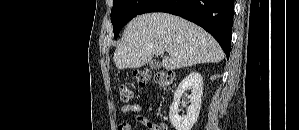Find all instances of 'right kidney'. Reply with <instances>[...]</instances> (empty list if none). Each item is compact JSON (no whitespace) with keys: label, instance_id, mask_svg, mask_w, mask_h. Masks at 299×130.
Returning <instances> with one entry per match:
<instances>
[{"label":"right kidney","instance_id":"1","mask_svg":"<svg viewBox=\"0 0 299 130\" xmlns=\"http://www.w3.org/2000/svg\"><path fill=\"white\" fill-rule=\"evenodd\" d=\"M189 89L192 90L188 96L190 105L187 114L180 116L178 114L180 98ZM202 94L203 78L200 73L191 72L181 81L174 94V101L169 111L170 122L176 130H191L200 113Z\"/></svg>","mask_w":299,"mask_h":130}]
</instances>
